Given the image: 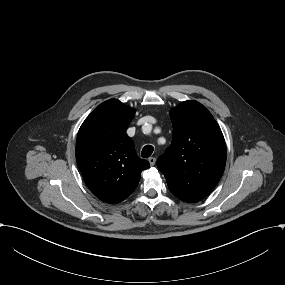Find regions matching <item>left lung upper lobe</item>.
Masks as SVG:
<instances>
[{"mask_svg":"<svg viewBox=\"0 0 285 285\" xmlns=\"http://www.w3.org/2000/svg\"><path fill=\"white\" fill-rule=\"evenodd\" d=\"M170 117L172 143L157 166L177 198L197 202L214 189L224 172L225 140L211 113L196 101L179 104Z\"/></svg>","mask_w":285,"mask_h":285,"instance_id":"obj_1","label":"left lung upper lobe"}]
</instances>
